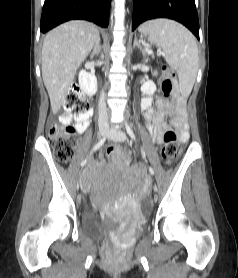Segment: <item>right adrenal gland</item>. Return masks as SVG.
I'll list each match as a JSON object with an SVG mask.
<instances>
[{"label":"right adrenal gland","instance_id":"2a0ac1e0","mask_svg":"<svg viewBox=\"0 0 238 278\" xmlns=\"http://www.w3.org/2000/svg\"><path fill=\"white\" fill-rule=\"evenodd\" d=\"M100 51H101V45H100V37H99L98 41L94 45L93 51L91 53V56L93 57L94 55L99 54Z\"/></svg>","mask_w":238,"mask_h":278}]
</instances>
